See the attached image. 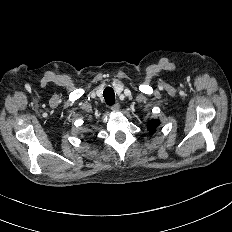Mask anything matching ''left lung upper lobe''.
<instances>
[{
  "label": "left lung upper lobe",
  "mask_w": 232,
  "mask_h": 232,
  "mask_svg": "<svg viewBox=\"0 0 232 232\" xmlns=\"http://www.w3.org/2000/svg\"><path fill=\"white\" fill-rule=\"evenodd\" d=\"M160 125V121L159 120H151L149 123H148V130L150 133H153L156 128Z\"/></svg>",
  "instance_id": "1"
}]
</instances>
